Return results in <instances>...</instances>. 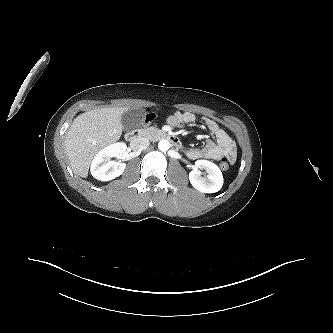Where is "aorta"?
<instances>
[{
	"label": "aorta",
	"mask_w": 333,
	"mask_h": 333,
	"mask_svg": "<svg viewBox=\"0 0 333 333\" xmlns=\"http://www.w3.org/2000/svg\"><path fill=\"white\" fill-rule=\"evenodd\" d=\"M158 148L160 151L166 152L170 148V143L167 140H161L158 143Z\"/></svg>",
	"instance_id": "obj_1"
}]
</instances>
